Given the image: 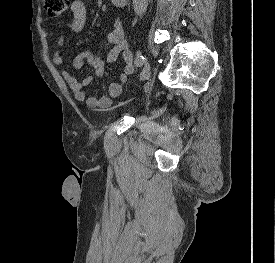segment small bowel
<instances>
[{"label":"small bowel","mask_w":275,"mask_h":263,"mask_svg":"<svg viewBox=\"0 0 275 263\" xmlns=\"http://www.w3.org/2000/svg\"><path fill=\"white\" fill-rule=\"evenodd\" d=\"M87 6L80 0H75L71 4V15L66 20L64 28L57 41V48L52 55V62L59 67L62 78L70 87L76 101L85 102L90 108H108L113 100L119 97L123 91V87L127 81V76L134 71L133 55L128 47V42L125 38V31L119 19L115 20L114 28L110 31L99 43V47L111 46L107 55V62L114 63L119 57L124 62V72L113 81L108 88V95L95 98L88 97L85 86L94 82L95 77H102L104 74V61L91 50L84 51L76 55L72 61L73 69L78 71L86 63L95 73L94 76H86L81 81L78 80L72 73L63 67V58L61 47L65 42V36L68 31L80 33L83 31L87 21Z\"/></svg>","instance_id":"1"}]
</instances>
